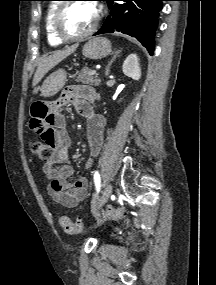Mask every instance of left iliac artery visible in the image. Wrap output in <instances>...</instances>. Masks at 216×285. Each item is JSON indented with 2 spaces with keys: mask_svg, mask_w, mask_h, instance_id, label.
Returning <instances> with one entry per match:
<instances>
[{
  "mask_svg": "<svg viewBox=\"0 0 216 285\" xmlns=\"http://www.w3.org/2000/svg\"><path fill=\"white\" fill-rule=\"evenodd\" d=\"M94 184H95L97 193H99L100 188H101V178H100L98 171H95L94 173Z\"/></svg>",
  "mask_w": 216,
  "mask_h": 285,
  "instance_id": "1",
  "label": "left iliac artery"
}]
</instances>
